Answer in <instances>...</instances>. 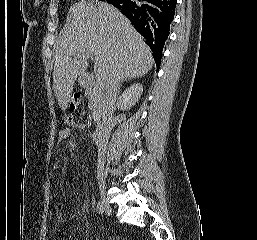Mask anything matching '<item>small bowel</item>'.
Listing matches in <instances>:
<instances>
[{"instance_id": "small-bowel-1", "label": "small bowel", "mask_w": 257, "mask_h": 240, "mask_svg": "<svg viewBox=\"0 0 257 240\" xmlns=\"http://www.w3.org/2000/svg\"><path fill=\"white\" fill-rule=\"evenodd\" d=\"M70 136H71L70 129L69 128H64V129L59 131V133H58V140L60 142H63L65 140L69 139Z\"/></svg>"}]
</instances>
